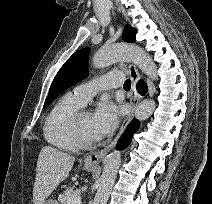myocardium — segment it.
<instances>
[{"instance_id": "f54148a6", "label": "myocardium", "mask_w": 212, "mask_h": 204, "mask_svg": "<svg viewBox=\"0 0 212 204\" xmlns=\"http://www.w3.org/2000/svg\"><path fill=\"white\" fill-rule=\"evenodd\" d=\"M87 112H89L87 109L81 108L72 116L70 121L71 135L76 146L81 149H91L97 144V140H88L81 130V118Z\"/></svg>"}]
</instances>
